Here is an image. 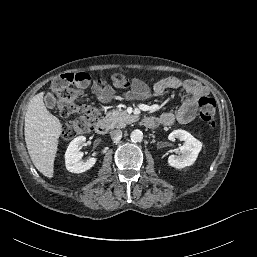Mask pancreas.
<instances>
[{"mask_svg": "<svg viewBox=\"0 0 257 257\" xmlns=\"http://www.w3.org/2000/svg\"><path fill=\"white\" fill-rule=\"evenodd\" d=\"M135 120V116L129 115L126 111L121 109L110 111L106 114L105 117V121L110 125L111 128H123Z\"/></svg>", "mask_w": 257, "mask_h": 257, "instance_id": "1", "label": "pancreas"}]
</instances>
